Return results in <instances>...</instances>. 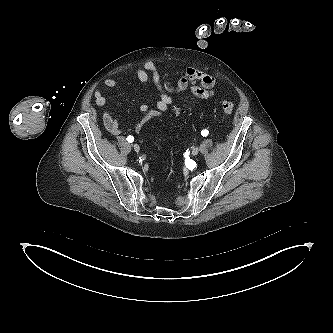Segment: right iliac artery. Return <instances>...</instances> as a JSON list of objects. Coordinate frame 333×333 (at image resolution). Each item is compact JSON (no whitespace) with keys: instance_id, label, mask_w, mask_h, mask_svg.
I'll return each mask as SVG.
<instances>
[{"instance_id":"obj_1","label":"right iliac artery","mask_w":333,"mask_h":333,"mask_svg":"<svg viewBox=\"0 0 333 333\" xmlns=\"http://www.w3.org/2000/svg\"><path fill=\"white\" fill-rule=\"evenodd\" d=\"M127 141H128L129 143H132V142L134 141V137L131 136V135H129V136L127 137Z\"/></svg>"}]
</instances>
